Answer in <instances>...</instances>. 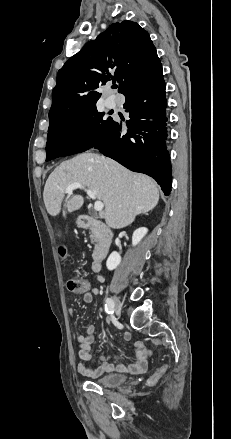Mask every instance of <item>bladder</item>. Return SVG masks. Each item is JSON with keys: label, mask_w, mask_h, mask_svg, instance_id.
<instances>
[{"label": "bladder", "mask_w": 231, "mask_h": 439, "mask_svg": "<svg viewBox=\"0 0 231 439\" xmlns=\"http://www.w3.org/2000/svg\"><path fill=\"white\" fill-rule=\"evenodd\" d=\"M127 380V376L120 373H108L94 380L97 384L105 387H116L123 384Z\"/></svg>", "instance_id": "bladder-1"}]
</instances>
